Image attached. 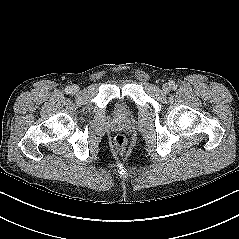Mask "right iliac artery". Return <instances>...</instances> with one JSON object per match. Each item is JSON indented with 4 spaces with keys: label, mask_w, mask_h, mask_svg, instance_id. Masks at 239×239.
<instances>
[{
    "label": "right iliac artery",
    "mask_w": 239,
    "mask_h": 239,
    "mask_svg": "<svg viewBox=\"0 0 239 239\" xmlns=\"http://www.w3.org/2000/svg\"><path fill=\"white\" fill-rule=\"evenodd\" d=\"M65 92L68 94V93H71L72 92V89L70 87H67L65 88Z\"/></svg>",
    "instance_id": "82829eb1"
}]
</instances>
